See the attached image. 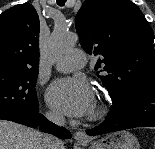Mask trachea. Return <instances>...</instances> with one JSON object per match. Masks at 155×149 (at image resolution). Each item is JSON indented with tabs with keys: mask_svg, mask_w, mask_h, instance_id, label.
<instances>
[{
	"mask_svg": "<svg viewBox=\"0 0 155 149\" xmlns=\"http://www.w3.org/2000/svg\"><path fill=\"white\" fill-rule=\"evenodd\" d=\"M65 2H66V0H57V4L59 6H64Z\"/></svg>",
	"mask_w": 155,
	"mask_h": 149,
	"instance_id": "obj_1",
	"label": "trachea"
}]
</instances>
